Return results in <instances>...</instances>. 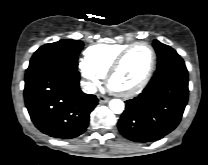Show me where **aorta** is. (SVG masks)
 Listing matches in <instances>:
<instances>
[{"label":"aorta","instance_id":"obj_1","mask_svg":"<svg viewBox=\"0 0 208 165\" xmlns=\"http://www.w3.org/2000/svg\"><path fill=\"white\" fill-rule=\"evenodd\" d=\"M109 107L112 110L113 113L115 114H121L124 110V103L120 99H112L109 102Z\"/></svg>","mask_w":208,"mask_h":165}]
</instances>
